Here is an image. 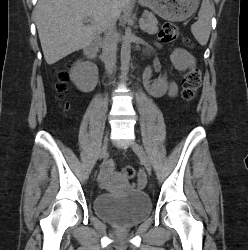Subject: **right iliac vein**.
Returning <instances> with one entry per match:
<instances>
[{"mask_svg": "<svg viewBox=\"0 0 248 250\" xmlns=\"http://www.w3.org/2000/svg\"><path fill=\"white\" fill-rule=\"evenodd\" d=\"M108 135L104 138V141H103V145H102V148H101V151H100V155L99 157L100 158H103L106 154H107V150H108Z\"/></svg>", "mask_w": 248, "mask_h": 250, "instance_id": "1", "label": "right iliac vein"}]
</instances>
